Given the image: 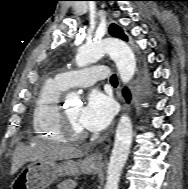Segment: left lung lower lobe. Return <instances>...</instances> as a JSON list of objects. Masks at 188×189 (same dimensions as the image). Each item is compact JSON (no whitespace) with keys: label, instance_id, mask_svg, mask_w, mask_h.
Wrapping results in <instances>:
<instances>
[{"label":"left lung lower lobe","instance_id":"left-lung-lower-lobe-1","mask_svg":"<svg viewBox=\"0 0 188 189\" xmlns=\"http://www.w3.org/2000/svg\"><path fill=\"white\" fill-rule=\"evenodd\" d=\"M123 93H124V97L126 98L127 102H129L130 101V92H129V90L128 89H124Z\"/></svg>","mask_w":188,"mask_h":189}]
</instances>
